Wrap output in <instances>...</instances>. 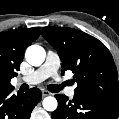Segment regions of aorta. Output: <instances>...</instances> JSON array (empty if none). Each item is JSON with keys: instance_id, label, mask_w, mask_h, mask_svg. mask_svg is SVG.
<instances>
[{"instance_id": "obj_1", "label": "aorta", "mask_w": 119, "mask_h": 119, "mask_svg": "<svg viewBox=\"0 0 119 119\" xmlns=\"http://www.w3.org/2000/svg\"><path fill=\"white\" fill-rule=\"evenodd\" d=\"M25 57L27 62L32 66H39L44 62L46 52L44 48L39 45H31L27 48ZM42 104L43 108L47 111H54L58 105L57 100L52 96L44 98Z\"/></svg>"}]
</instances>
